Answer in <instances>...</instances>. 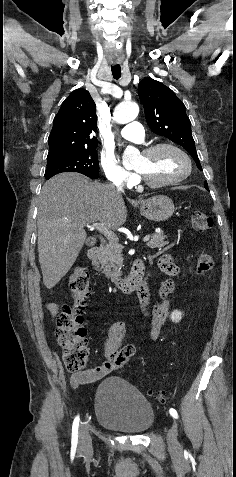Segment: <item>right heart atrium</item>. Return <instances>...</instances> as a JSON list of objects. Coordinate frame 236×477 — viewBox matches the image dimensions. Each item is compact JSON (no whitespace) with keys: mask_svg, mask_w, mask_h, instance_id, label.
Listing matches in <instances>:
<instances>
[{"mask_svg":"<svg viewBox=\"0 0 236 477\" xmlns=\"http://www.w3.org/2000/svg\"><path fill=\"white\" fill-rule=\"evenodd\" d=\"M100 165L106 180L112 184L129 185L135 181L134 174L126 170L110 153L102 154Z\"/></svg>","mask_w":236,"mask_h":477,"instance_id":"1","label":"right heart atrium"}]
</instances>
